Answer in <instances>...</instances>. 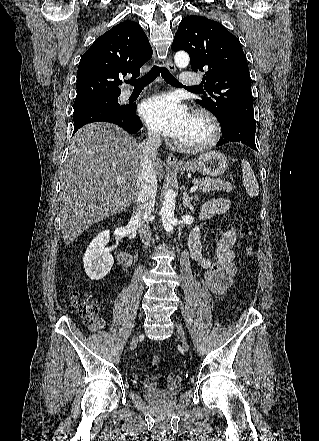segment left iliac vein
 Wrapping results in <instances>:
<instances>
[{
  "label": "left iliac vein",
  "mask_w": 319,
  "mask_h": 441,
  "mask_svg": "<svg viewBox=\"0 0 319 441\" xmlns=\"http://www.w3.org/2000/svg\"><path fill=\"white\" fill-rule=\"evenodd\" d=\"M176 329L177 332L181 335L183 345H186L187 342L182 327L179 324H176Z\"/></svg>",
  "instance_id": "1"
}]
</instances>
